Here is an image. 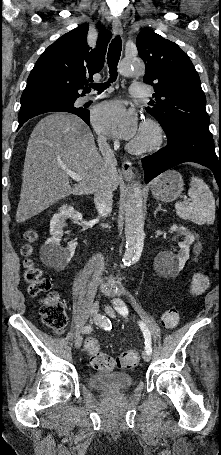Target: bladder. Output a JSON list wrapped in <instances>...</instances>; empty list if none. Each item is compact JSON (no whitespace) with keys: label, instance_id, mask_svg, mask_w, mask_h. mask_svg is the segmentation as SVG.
<instances>
[{"label":"bladder","instance_id":"31cf9c89","mask_svg":"<svg viewBox=\"0 0 221 455\" xmlns=\"http://www.w3.org/2000/svg\"><path fill=\"white\" fill-rule=\"evenodd\" d=\"M132 385V376L123 372L93 373L88 377V386L97 391H126L130 389Z\"/></svg>","mask_w":221,"mask_h":455}]
</instances>
